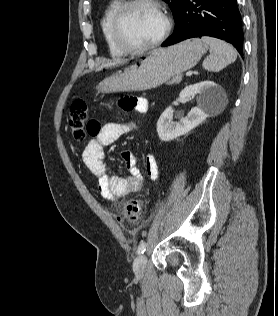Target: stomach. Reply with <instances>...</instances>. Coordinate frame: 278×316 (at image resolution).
Here are the masks:
<instances>
[{"instance_id": "stomach-1", "label": "stomach", "mask_w": 278, "mask_h": 316, "mask_svg": "<svg viewBox=\"0 0 278 316\" xmlns=\"http://www.w3.org/2000/svg\"><path fill=\"white\" fill-rule=\"evenodd\" d=\"M206 50V45L200 39H190L166 49H156L138 64L103 79L97 89L122 92L156 88L194 67Z\"/></svg>"}]
</instances>
